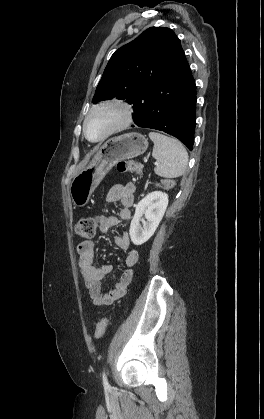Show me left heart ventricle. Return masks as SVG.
<instances>
[{
	"mask_svg": "<svg viewBox=\"0 0 264 419\" xmlns=\"http://www.w3.org/2000/svg\"><path fill=\"white\" fill-rule=\"evenodd\" d=\"M119 120L120 113L115 109L97 111L91 116L87 124L89 138H100Z\"/></svg>",
	"mask_w": 264,
	"mask_h": 419,
	"instance_id": "1",
	"label": "left heart ventricle"
}]
</instances>
